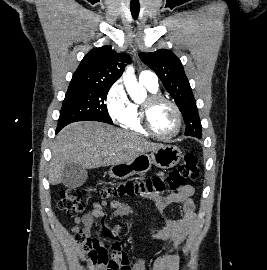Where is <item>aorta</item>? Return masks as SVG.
I'll return each mask as SVG.
<instances>
[{"label":"aorta","mask_w":267,"mask_h":270,"mask_svg":"<svg viewBox=\"0 0 267 270\" xmlns=\"http://www.w3.org/2000/svg\"><path fill=\"white\" fill-rule=\"evenodd\" d=\"M123 81L129 96L133 100L138 101L145 97V89L138 83L132 65L127 66L123 74Z\"/></svg>","instance_id":"1"}]
</instances>
